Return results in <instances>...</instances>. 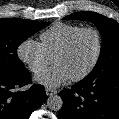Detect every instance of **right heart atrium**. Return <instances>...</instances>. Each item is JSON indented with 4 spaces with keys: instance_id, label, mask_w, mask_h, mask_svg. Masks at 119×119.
Listing matches in <instances>:
<instances>
[{
    "instance_id": "right-heart-atrium-1",
    "label": "right heart atrium",
    "mask_w": 119,
    "mask_h": 119,
    "mask_svg": "<svg viewBox=\"0 0 119 119\" xmlns=\"http://www.w3.org/2000/svg\"><path fill=\"white\" fill-rule=\"evenodd\" d=\"M17 55L33 73L42 71L52 62L42 44L32 38L25 39L19 44Z\"/></svg>"
}]
</instances>
